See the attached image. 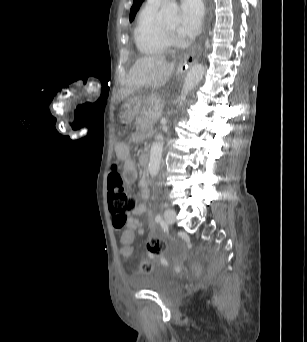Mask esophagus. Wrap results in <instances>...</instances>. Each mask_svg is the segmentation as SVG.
<instances>
[{"label":"esophagus","instance_id":"obj_1","mask_svg":"<svg viewBox=\"0 0 307 342\" xmlns=\"http://www.w3.org/2000/svg\"><path fill=\"white\" fill-rule=\"evenodd\" d=\"M200 54H201V46L198 45L196 48H194L193 51H191V53L183 57V61L185 63H188L189 65H192L193 63H196Z\"/></svg>","mask_w":307,"mask_h":342}]
</instances>
